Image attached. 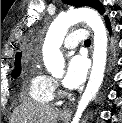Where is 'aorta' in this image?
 Listing matches in <instances>:
<instances>
[{"label":"aorta","mask_w":122,"mask_h":123,"mask_svg":"<svg viewBox=\"0 0 122 123\" xmlns=\"http://www.w3.org/2000/svg\"><path fill=\"white\" fill-rule=\"evenodd\" d=\"M80 21H85L94 32L93 66L72 123H79L83 111L96 96L103 80L107 57L106 28L96 11L90 8H79L59 15L52 22L43 45V60L47 70L51 74L63 72L64 59L60 47L69 27Z\"/></svg>","instance_id":"aorta-1"}]
</instances>
